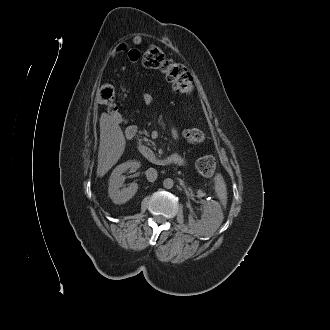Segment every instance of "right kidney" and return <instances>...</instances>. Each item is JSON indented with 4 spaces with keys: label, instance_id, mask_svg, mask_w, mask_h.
<instances>
[{
    "label": "right kidney",
    "instance_id": "obj_1",
    "mask_svg": "<svg viewBox=\"0 0 330 330\" xmlns=\"http://www.w3.org/2000/svg\"><path fill=\"white\" fill-rule=\"evenodd\" d=\"M140 167V162L138 161H127L122 163L112 171V174L109 179L108 193L110 199L115 204H123L129 201L137 192L138 184L131 183L130 186L124 187L123 183L125 181V176L122 174L126 172L129 168H134L137 170Z\"/></svg>",
    "mask_w": 330,
    "mask_h": 330
}]
</instances>
